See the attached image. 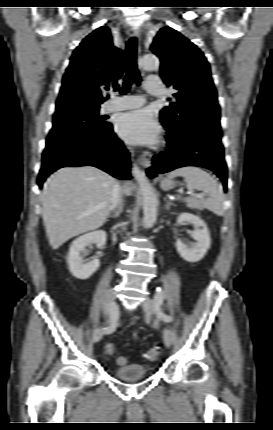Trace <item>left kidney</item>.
Wrapping results in <instances>:
<instances>
[{
	"instance_id": "left-kidney-1",
	"label": "left kidney",
	"mask_w": 273,
	"mask_h": 430,
	"mask_svg": "<svg viewBox=\"0 0 273 430\" xmlns=\"http://www.w3.org/2000/svg\"><path fill=\"white\" fill-rule=\"evenodd\" d=\"M178 224L191 223L195 230L191 232V236L196 242L185 243L181 240L176 241V249L179 255L188 262L200 261L211 245L210 233L206 223L199 216L192 213H182L179 215Z\"/></svg>"
}]
</instances>
